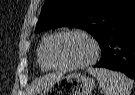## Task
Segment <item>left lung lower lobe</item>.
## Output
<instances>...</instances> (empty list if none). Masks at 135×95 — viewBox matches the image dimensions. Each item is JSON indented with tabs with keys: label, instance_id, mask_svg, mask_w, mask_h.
I'll list each match as a JSON object with an SVG mask.
<instances>
[{
	"label": "left lung lower lobe",
	"instance_id": "1",
	"mask_svg": "<svg viewBox=\"0 0 135 95\" xmlns=\"http://www.w3.org/2000/svg\"><path fill=\"white\" fill-rule=\"evenodd\" d=\"M101 48L95 67L120 71L135 80V17L110 34Z\"/></svg>",
	"mask_w": 135,
	"mask_h": 95
}]
</instances>
